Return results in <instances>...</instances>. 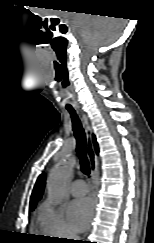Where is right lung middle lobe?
Listing matches in <instances>:
<instances>
[{
  "instance_id": "right-lung-middle-lobe-1",
  "label": "right lung middle lobe",
  "mask_w": 154,
  "mask_h": 243,
  "mask_svg": "<svg viewBox=\"0 0 154 243\" xmlns=\"http://www.w3.org/2000/svg\"><path fill=\"white\" fill-rule=\"evenodd\" d=\"M35 207H30V210H34Z\"/></svg>"
}]
</instances>
